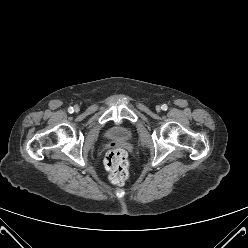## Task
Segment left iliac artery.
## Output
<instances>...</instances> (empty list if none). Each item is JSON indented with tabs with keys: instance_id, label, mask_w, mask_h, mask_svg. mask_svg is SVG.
I'll return each instance as SVG.
<instances>
[{
	"instance_id": "left-iliac-artery-1",
	"label": "left iliac artery",
	"mask_w": 248,
	"mask_h": 248,
	"mask_svg": "<svg viewBox=\"0 0 248 248\" xmlns=\"http://www.w3.org/2000/svg\"><path fill=\"white\" fill-rule=\"evenodd\" d=\"M161 108H162V110L166 111V110L168 109V106H167L166 104H163V105L161 106Z\"/></svg>"
}]
</instances>
